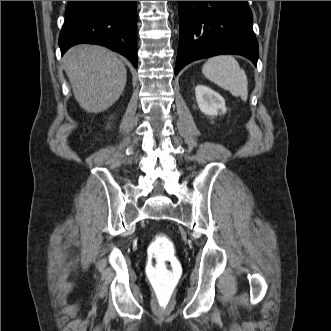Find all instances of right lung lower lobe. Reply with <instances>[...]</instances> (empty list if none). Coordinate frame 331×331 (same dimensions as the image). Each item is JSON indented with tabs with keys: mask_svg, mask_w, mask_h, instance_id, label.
Wrapping results in <instances>:
<instances>
[{
	"mask_svg": "<svg viewBox=\"0 0 331 331\" xmlns=\"http://www.w3.org/2000/svg\"><path fill=\"white\" fill-rule=\"evenodd\" d=\"M80 43L108 47L137 67L136 1H68L61 54Z\"/></svg>",
	"mask_w": 331,
	"mask_h": 331,
	"instance_id": "98d812e1",
	"label": "right lung lower lobe"
}]
</instances>
